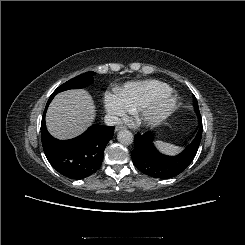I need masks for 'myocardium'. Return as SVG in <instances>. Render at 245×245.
<instances>
[{"label":"myocardium","instance_id":"f54148a6","mask_svg":"<svg viewBox=\"0 0 245 245\" xmlns=\"http://www.w3.org/2000/svg\"><path fill=\"white\" fill-rule=\"evenodd\" d=\"M179 98L174 93L157 97L135 111L136 120L147 127H154L167 119L177 108Z\"/></svg>","mask_w":245,"mask_h":245}]
</instances>
